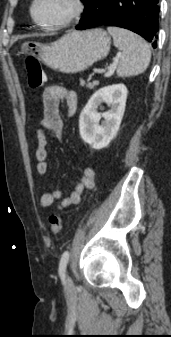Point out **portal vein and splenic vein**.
<instances>
[{"label": "portal vein and splenic vein", "instance_id": "portal-vein-and-splenic-vein-1", "mask_svg": "<svg viewBox=\"0 0 171 337\" xmlns=\"http://www.w3.org/2000/svg\"><path fill=\"white\" fill-rule=\"evenodd\" d=\"M118 61H119V57H116L113 61V63L108 67V71L105 73V76L106 77H110L111 75H113L116 67H117V64H118ZM96 71V70H94Z\"/></svg>", "mask_w": 171, "mask_h": 337}]
</instances>
